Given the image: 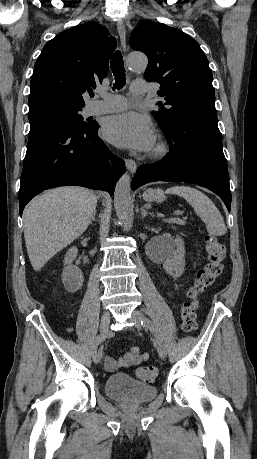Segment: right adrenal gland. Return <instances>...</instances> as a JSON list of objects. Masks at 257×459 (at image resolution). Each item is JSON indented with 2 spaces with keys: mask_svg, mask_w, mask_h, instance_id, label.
Wrapping results in <instances>:
<instances>
[{
  "mask_svg": "<svg viewBox=\"0 0 257 459\" xmlns=\"http://www.w3.org/2000/svg\"><path fill=\"white\" fill-rule=\"evenodd\" d=\"M95 221H96V211H94V213H93V215H92L90 224H92V222H95Z\"/></svg>",
  "mask_w": 257,
  "mask_h": 459,
  "instance_id": "right-adrenal-gland-1",
  "label": "right adrenal gland"
}]
</instances>
